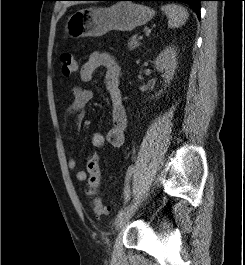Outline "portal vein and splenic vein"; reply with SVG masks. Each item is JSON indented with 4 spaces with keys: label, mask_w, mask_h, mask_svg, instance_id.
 <instances>
[{
    "label": "portal vein and splenic vein",
    "mask_w": 245,
    "mask_h": 265,
    "mask_svg": "<svg viewBox=\"0 0 245 265\" xmlns=\"http://www.w3.org/2000/svg\"><path fill=\"white\" fill-rule=\"evenodd\" d=\"M142 39H143V35H140V36H139V40H142Z\"/></svg>",
    "instance_id": "portal-vein-and-splenic-vein-1"
}]
</instances>
